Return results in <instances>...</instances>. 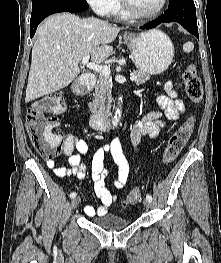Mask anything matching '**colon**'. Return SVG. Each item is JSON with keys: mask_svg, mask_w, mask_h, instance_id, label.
<instances>
[{"mask_svg": "<svg viewBox=\"0 0 221 263\" xmlns=\"http://www.w3.org/2000/svg\"><path fill=\"white\" fill-rule=\"evenodd\" d=\"M185 91L193 104H198L203 98V87L200 77L193 66H187L183 72ZM65 110V99L61 93L47 94L34 102L28 109L26 121L27 131L33 147L48 160L60 155L64 137L59 129L56 115ZM195 119L188 118L169 139L162 156L164 164H169L180 154L190 138ZM143 191L134 188L127 197V203L135 204L142 198Z\"/></svg>", "mask_w": 221, "mask_h": 263, "instance_id": "1", "label": "colon"}]
</instances>
